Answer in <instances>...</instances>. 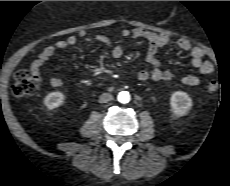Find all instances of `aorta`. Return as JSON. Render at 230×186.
<instances>
[{"label": "aorta", "instance_id": "obj_1", "mask_svg": "<svg viewBox=\"0 0 230 186\" xmlns=\"http://www.w3.org/2000/svg\"><path fill=\"white\" fill-rule=\"evenodd\" d=\"M117 99L120 103H128L130 101V94L127 91L119 92Z\"/></svg>", "mask_w": 230, "mask_h": 186}]
</instances>
